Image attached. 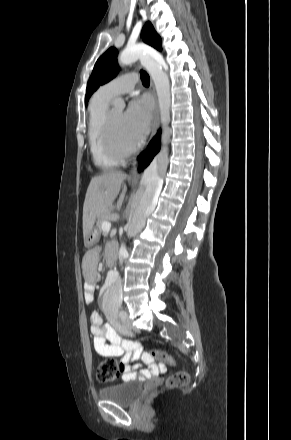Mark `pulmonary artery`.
Instances as JSON below:
<instances>
[{"label":"pulmonary artery","instance_id":"pulmonary-artery-1","mask_svg":"<svg viewBox=\"0 0 291 440\" xmlns=\"http://www.w3.org/2000/svg\"><path fill=\"white\" fill-rule=\"evenodd\" d=\"M139 82L137 74L129 73L122 75L99 88V93L108 99L118 95L130 93Z\"/></svg>","mask_w":291,"mask_h":440}]
</instances>
